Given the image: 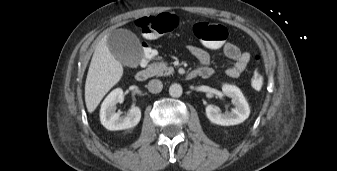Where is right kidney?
<instances>
[{
  "instance_id": "1",
  "label": "right kidney",
  "mask_w": 337,
  "mask_h": 171,
  "mask_svg": "<svg viewBox=\"0 0 337 171\" xmlns=\"http://www.w3.org/2000/svg\"><path fill=\"white\" fill-rule=\"evenodd\" d=\"M124 100L123 90L117 88L113 90L103 101L100 110L101 124L108 130H124L135 127L141 119L139 107H133L125 116H120V112H115L116 104Z\"/></svg>"
}]
</instances>
